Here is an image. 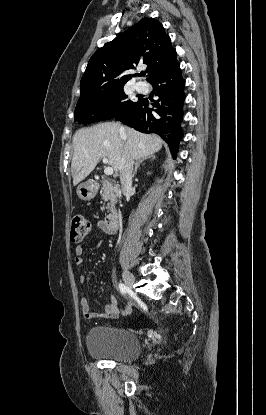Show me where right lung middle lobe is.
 <instances>
[{"mask_svg":"<svg viewBox=\"0 0 266 415\" xmlns=\"http://www.w3.org/2000/svg\"><path fill=\"white\" fill-rule=\"evenodd\" d=\"M136 103L128 100L123 86L79 98L75 108V121L86 124L109 120L122 114Z\"/></svg>","mask_w":266,"mask_h":415,"instance_id":"right-lung-middle-lobe-1","label":"right lung middle lobe"}]
</instances>
